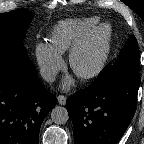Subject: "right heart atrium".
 Wrapping results in <instances>:
<instances>
[{
  "label": "right heart atrium",
  "instance_id": "obj_1",
  "mask_svg": "<svg viewBox=\"0 0 144 144\" xmlns=\"http://www.w3.org/2000/svg\"><path fill=\"white\" fill-rule=\"evenodd\" d=\"M35 58L43 77L52 81L64 67V60L59 53L49 43H38L35 47Z\"/></svg>",
  "mask_w": 144,
  "mask_h": 144
}]
</instances>
